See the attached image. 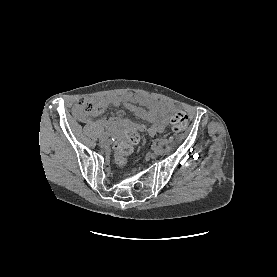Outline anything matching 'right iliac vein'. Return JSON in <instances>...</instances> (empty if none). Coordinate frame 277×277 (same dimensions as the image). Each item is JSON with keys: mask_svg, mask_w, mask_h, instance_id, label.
Instances as JSON below:
<instances>
[{"mask_svg": "<svg viewBox=\"0 0 277 277\" xmlns=\"http://www.w3.org/2000/svg\"><path fill=\"white\" fill-rule=\"evenodd\" d=\"M99 145L103 148L108 147L110 145V140L108 138L100 139Z\"/></svg>", "mask_w": 277, "mask_h": 277, "instance_id": "right-iliac-vein-1", "label": "right iliac vein"}]
</instances>
